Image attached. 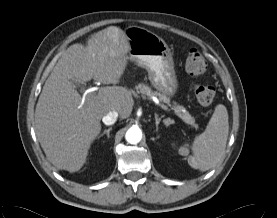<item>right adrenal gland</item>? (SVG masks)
<instances>
[{"mask_svg": "<svg viewBox=\"0 0 277 218\" xmlns=\"http://www.w3.org/2000/svg\"><path fill=\"white\" fill-rule=\"evenodd\" d=\"M111 130H112V127L108 128V129H105V130L103 131V133H101V134L98 136V138L104 136L105 134H106L107 137L109 138V137H110V131H111Z\"/></svg>", "mask_w": 277, "mask_h": 218, "instance_id": "2a0ac1e0", "label": "right adrenal gland"}]
</instances>
